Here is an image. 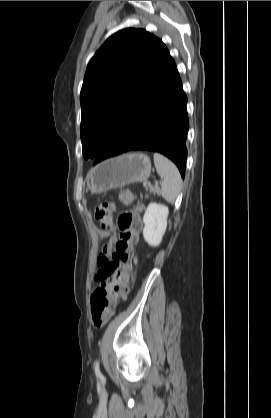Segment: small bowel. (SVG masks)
Segmentation results:
<instances>
[{"instance_id": "c3829d8e", "label": "small bowel", "mask_w": 271, "mask_h": 418, "mask_svg": "<svg viewBox=\"0 0 271 418\" xmlns=\"http://www.w3.org/2000/svg\"><path fill=\"white\" fill-rule=\"evenodd\" d=\"M126 278H127L126 276L123 277L124 280H126ZM115 283H116L115 278L111 277L101 282V285H103L109 292L113 293Z\"/></svg>"}]
</instances>
